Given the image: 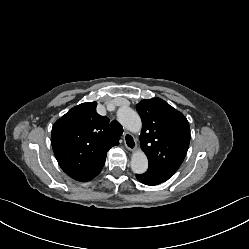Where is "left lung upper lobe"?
<instances>
[{
  "mask_svg": "<svg viewBox=\"0 0 249 249\" xmlns=\"http://www.w3.org/2000/svg\"><path fill=\"white\" fill-rule=\"evenodd\" d=\"M136 109L142 120L139 140L149 160L148 169L172 176L189 147L186 117L160 98L142 100Z\"/></svg>",
  "mask_w": 249,
  "mask_h": 249,
  "instance_id": "5c2ea615",
  "label": "left lung upper lobe"
}]
</instances>
